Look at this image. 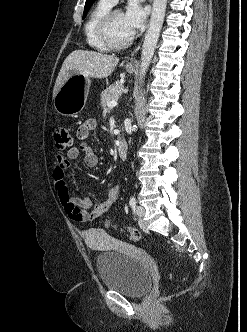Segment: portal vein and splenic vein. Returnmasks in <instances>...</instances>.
<instances>
[{
    "instance_id": "obj_1",
    "label": "portal vein and splenic vein",
    "mask_w": 247,
    "mask_h": 332,
    "mask_svg": "<svg viewBox=\"0 0 247 332\" xmlns=\"http://www.w3.org/2000/svg\"><path fill=\"white\" fill-rule=\"evenodd\" d=\"M115 106H117V101H110L107 103L108 108H113Z\"/></svg>"
}]
</instances>
